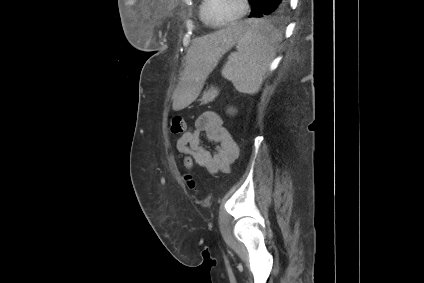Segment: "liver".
Returning <instances> with one entry per match:
<instances>
[{
    "mask_svg": "<svg viewBox=\"0 0 424 283\" xmlns=\"http://www.w3.org/2000/svg\"><path fill=\"white\" fill-rule=\"evenodd\" d=\"M245 31L244 23H234L194 39L187 51L181 82L173 93V110H182L196 99L220 57L239 41Z\"/></svg>",
    "mask_w": 424,
    "mask_h": 283,
    "instance_id": "1",
    "label": "liver"
}]
</instances>
